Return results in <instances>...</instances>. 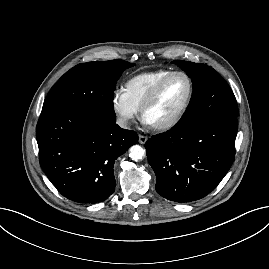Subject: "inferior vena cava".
Returning <instances> with one entry per match:
<instances>
[{
  "label": "inferior vena cava",
  "mask_w": 269,
  "mask_h": 269,
  "mask_svg": "<svg viewBox=\"0 0 269 269\" xmlns=\"http://www.w3.org/2000/svg\"><path fill=\"white\" fill-rule=\"evenodd\" d=\"M117 124L121 127V128H128L129 127V122L124 119V118H119L117 120Z\"/></svg>",
  "instance_id": "1"
}]
</instances>
